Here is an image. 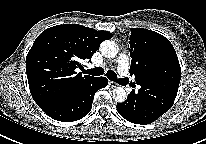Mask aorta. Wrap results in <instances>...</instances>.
<instances>
[{"instance_id":"1","label":"aorta","mask_w":206,"mask_h":144,"mask_svg":"<svg viewBox=\"0 0 206 144\" xmlns=\"http://www.w3.org/2000/svg\"><path fill=\"white\" fill-rule=\"evenodd\" d=\"M101 54L106 58H114L118 52L119 47L113 40H105L100 45ZM113 99L118 103H123L127 99V92L123 87H116L113 89Z\"/></svg>"}]
</instances>
